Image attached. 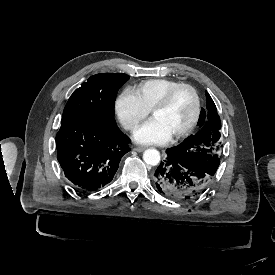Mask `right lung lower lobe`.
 <instances>
[{"mask_svg": "<svg viewBox=\"0 0 275 275\" xmlns=\"http://www.w3.org/2000/svg\"><path fill=\"white\" fill-rule=\"evenodd\" d=\"M129 143L117 126L102 128L83 119H66L56 135L57 159L74 188L91 192L112 181Z\"/></svg>", "mask_w": 275, "mask_h": 275, "instance_id": "1", "label": "right lung lower lobe"}]
</instances>
